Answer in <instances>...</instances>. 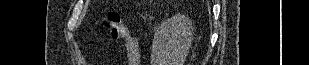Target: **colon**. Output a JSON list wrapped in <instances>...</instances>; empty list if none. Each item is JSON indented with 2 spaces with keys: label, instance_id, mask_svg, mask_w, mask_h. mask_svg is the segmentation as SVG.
I'll return each mask as SVG.
<instances>
[{
  "label": "colon",
  "instance_id": "5ec220e1",
  "mask_svg": "<svg viewBox=\"0 0 309 65\" xmlns=\"http://www.w3.org/2000/svg\"><path fill=\"white\" fill-rule=\"evenodd\" d=\"M103 26L113 39H124L128 35L118 12H109L103 19Z\"/></svg>",
  "mask_w": 309,
  "mask_h": 65
}]
</instances>
